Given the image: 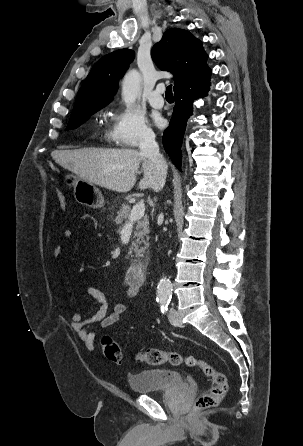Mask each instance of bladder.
Listing matches in <instances>:
<instances>
[{
    "instance_id": "bladder-1",
    "label": "bladder",
    "mask_w": 303,
    "mask_h": 446,
    "mask_svg": "<svg viewBox=\"0 0 303 446\" xmlns=\"http://www.w3.org/2000/svg\"><path fill=\"white\" fill-rule=\"evenodd\" d=\"M127 381L131 391L139 394L185 386L183 376L179 372L169 369H145L128 375Z\"/></svg>"
}]
</instances>
